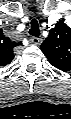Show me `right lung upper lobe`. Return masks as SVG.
<instances>
[{
	"mask_svg": "<svg viewBox=\"0 0 71 119\" xmlns=\"http://www.w3.org/2000/svg\"><path fill=\"white\" fill-rule=\"evenodd\" d=\"M18 45H21V42H14L0 34V66H5L13 60L14 48Z\"/></svg>",
	"mask_w": 71,
	"mask_h": 119,
	"instance_id": "1",
	"label": "right lung upper lobe"
}]
</instances>
